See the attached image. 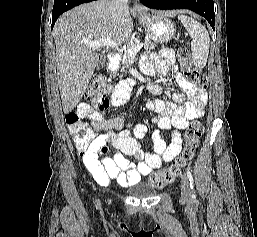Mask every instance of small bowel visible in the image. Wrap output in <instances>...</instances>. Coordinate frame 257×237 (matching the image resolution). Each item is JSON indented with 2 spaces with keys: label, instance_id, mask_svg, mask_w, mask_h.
<instances>
[{
  "label": "small bowel",
  "instance_id": "obj_1",
  "mask_svg": "<svg viewBox=\"0 0 257 237\" xmlns=\"http://www.w3.org/2000/svg\"><path fill=\"white\" fill-rule=\"evenodd\" d=\"M173 61V52L162 49L158 54H152L142 67L148 74H169ZM175 78L190 97L189 101H185L184 94L175 93L170 101L156 99L146 103V108L157 115L153 121L158 128L169 131L168 142L161 137L159 130L153 132L154 152H145L140 147V140L148 133L146 125L138 124L129 130L124 117L105 119L103 116V111L109 107H120L127 102L134 85L131 79L119 81L110 98L103 102L79 104L78 114L89 121L88 132L93 139L84 147L75 139L74 142L84 165L99 185L108 186L112 179L123 187L135 184L180 154L182 131L192 120L202 117L207 93L190 84L181 74H176ZM110 148L117 151L112 157L108 156ZM126 156H133L138 163L130 162Z\"/></svg>",
  "mask_w": 257,
  "mask_h": 237
}]
</instances>
